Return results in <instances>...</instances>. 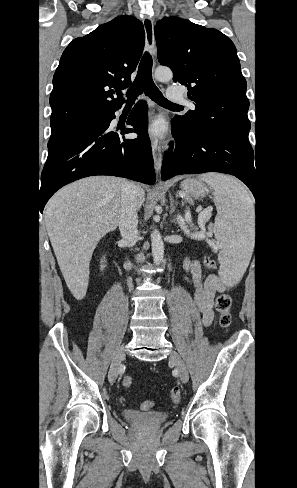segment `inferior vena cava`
<instances>
[{
  "label": "inferior vena cava",
  "mask_w": 297,
  "mask_h": 488,
  "mask_svg": "<svg viewBox=\"0 0 297 488\" xmlns=\"http://www.w3.org/2000/svg\"><path fill=\"white\" fill-rule=\"evenodd\" d=\"M138 205L139 200L136 194V185L132 182H126L121 196V209L118 224L122 239L128 246H133L139 240L137 230Z\"/></svg>",
  "instance_id": "602c4592"
}]
</instances>
